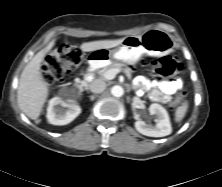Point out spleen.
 I'll list each match as a JSON object with an SVG mask.
<instances>
[{"label":"spleen","instance_id":"1","mask_svg":"<svg viewBox=\"0 0 222 187\" xmlns=\"http://www.w3.org/2000/svg\"><path fill=\"white\" fill-rule=\"evenodd\" d=\"M188 102L182 103L175 111V122H180L185 117L188 110Z\"/></svg>","mask_w":222,"mask_h":187}]
</instances>
